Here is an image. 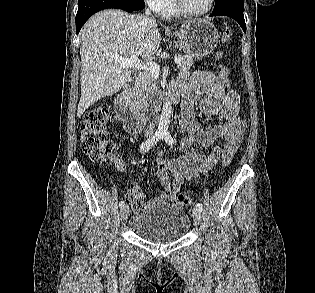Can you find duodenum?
<instances>
[{
  "instance_id": "duodenum-1",
  "label": "duodenum",
  "mask_w": 315,
  "mask_h": 293,
  "mask_svg": "<svg viewBox=\"0 0 315 293\" xmlns=\"http://www.w3.org/2000/svg\"><path fill=\"white\" fill-rule=\"evenodd\" d=\"M135 89V82L127 84L115 99V111L118 119L123 122L124 128L130 133H136L143 129L147 122L145 114L140 113L131 103V97ZM180 95L171 91L168 101L176 104Z\"/></svg>"
}]
</instances>
